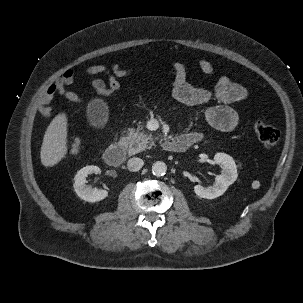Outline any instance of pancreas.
Returning a JSON list of instances; mask_svg holds the SVG:
<instances>
[{
  "instance_id": "cf45deb5",
  "label": "pancreas",
  "mask_w": 303,
  "mask_h": 303,
  "mask_svg": "<svg viewBox=\"0 0 303 303\" xmlns=\"http://www.w3.org/2000/svg\"><path fill=\"white\" fill-rule=\"evenodd\" d=\"M124 140L128 145L129 155H134L151 148L155 144L156 138L151 133L140 131V128H130Z\"/></svg>"
}]
</instances>
